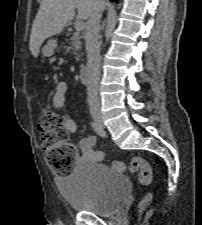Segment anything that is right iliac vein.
Instances as JSON below:
<instances>
[{"label":"right iliac vein","mask_w":202,"mask_h":225,"mask_svg":"<svg viewBox=\"0 0 202 225\" xmlns=\"http://www.w3.org/2000/svg\"><path fill=\"white\" fill-rule=\"evenodd\" d=\"M91 114H92V117L95 120V122L98 123V124H100V125H102L103 120H102L101 112L100 111H97V110H93L91 112Z\"/></svg>","instance_id":"1"}]
</instances>
